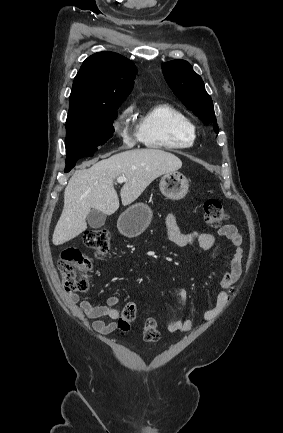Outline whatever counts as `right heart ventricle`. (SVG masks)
<instances>
[{
	"label": "right heart ventricle",
	"mask_w": 283,
	"mask_h": 433,
	"mask_svg": "<svg viewBox=\"0 0 283 433\" xmlns=\"http://www.w3.org/2000/svg\"><path fill=\"white\" fill-rule=\"evenodd\" d=\"M194 127L191 119L179 109L168 104H157L139 114L137 131L150 148L180 150L192 142L184 139L185 129Z\"/></svg>",
	"instance_id": "1"
}]
</instances>
